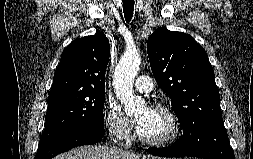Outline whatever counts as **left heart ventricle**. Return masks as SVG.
Listing matches in <instances>:
<instances>
[{"mask_svg": "<svg viewBox=\"0 0 253 159\" xmlns=\"http://www.w3.org/2000/svg\"><path fill=\"white\" fill-rule=\"evenodd\" d=\"M143 119V124L138 130L149 139H161L168 136L171 132V124L166 116L160 110L153 108H141L136 113V120Z\"/></svg>", "mask_w": 253, "mask_h": 159, "instance_id": "obj_1", "label": "left heart ventricle"}]
</instances>
